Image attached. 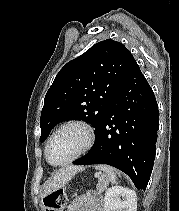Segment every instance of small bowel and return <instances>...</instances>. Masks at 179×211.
Wrapping results in <instances>:
<instances>
[{
	"label": "small bowel",
	"mask_w": 179,
	"mask_h": 211,
	"mask_svg": "<svg viewBox=\"0 0 179 211\" xmlns=\"http://www.w3.org/2000/svg\"><path fill=\"white\" fill-rule=\"evenodd\" d=\"M65 211H102V200L93 192L83 193L76 196Z\"/></svg>",
	"instance_id": "1"
}]
</instances>
